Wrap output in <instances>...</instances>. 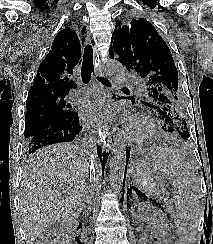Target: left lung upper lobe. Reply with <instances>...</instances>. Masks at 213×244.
Listing matches in <instances>:
<instances>
[{
    "label": "left lung upper lobe",
    "mask_w": 213,
    "mask_h": 244,
    "mask_svg": "<svg viewBox=\"0 0 213 244\" xmlns=\"http://www.w3.org/2000/svg\"><path fill=\"white\" fill-rule=\"evenodd\" d=\"M116 24L110 56L129 71L141 85V94L129 99L140 100L155 110L168 133L188 140L187 114L179 86L178 71L169 47L155 27L145 19H133L129 26Z\"/></svg>",
    "instance_id": "obj_1"
}]
</instances>
